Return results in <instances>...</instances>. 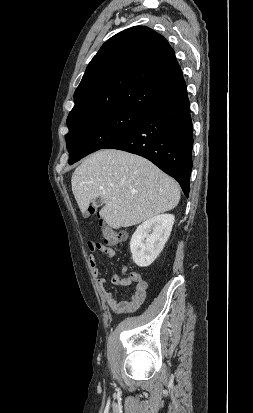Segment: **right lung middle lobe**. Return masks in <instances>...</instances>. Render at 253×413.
<instances>
[{
	"label": "right lung middle lobe",
	"instance_id": "obj_1",
	"mask_svg": "<svg viewBox=\"0 0 253 413\" xmlns=\"http://www.w3.org/2000/svg\"><path fill=\"white\" fill-rule=\"evenodd\" d=\"M144 115L140 111L116 109L68 123L65 140L69 164L122 138L141 122Z\"/></svg>",
	"mask_w": 253,
	"mask_h": 413
}]
</instances>
